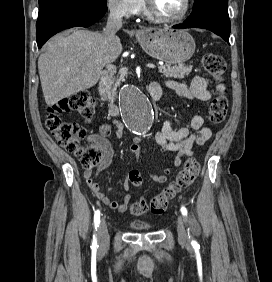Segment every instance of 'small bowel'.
Returning <instances> with one entry per match:
<instances>
[{
    "label": "small bowel",
    "instance_id": "obj_1",
    "mask_svg": "<svg viewBox=\"0 0 272 282\" xmlns=\"http://www.w3.org/2000/svg\"><path fill=\"white\" fill-rule=\"evenodd\" d=\"M166 86L173 90L177 95L185 97L187 99H196L199 101H208L211 97V92L208 89L206 80L201 76H195L190 84H183L177 81L169 80L166 82ZM225 88L223 84H218L216 89L220 91ZM200 130L198 135L193 134V130ZM125 133V128L122 122H114V135L117 139H122ZM112 131L109 125H103L100 128L99 134L90 135L88 140L91 144L98 145L103 151V160L98 165L97 170L92 172L86 170L84 172V178L88 186L95 193L96 197L118 212H125L129 202L131 201V195L126 193L120 201L113 200L107 196L101 187L94 181L100 172L105 170L112 162L114 149L110 141ZM211 136V129L204 126V119L201 115L196 114L192 117L190 125L178 130H174L171 127L169 121H164L161 127L155 132L152 137V141L160 148L162 152L170 151L174 153L173 167H179L182 159L186 156H190L192 153V147L194 144L198 146L204 145ZM143 140L142 137H135L129 147L130 151L135 155L136 159L139 158L140 143ZM170 168L166 169L162 175L151 174L150 179L157 184H162L167 181V177L170 174ZM123 188L128 190L129 183L125 181Z\"/></svg>",
    "mask_w": 272,
    "mask_h": 282
}]
</instances>
